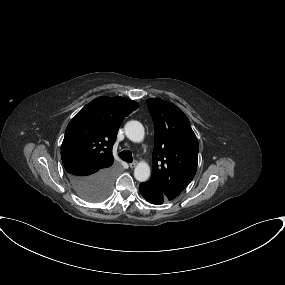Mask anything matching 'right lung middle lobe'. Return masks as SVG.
<instances>
[{"label": "right lung middle lobe", "instance_id": "1", "mask_svg": "<svg viewBox=\"0 0 285 285\" xmlns=\"http://www.w3.org/2000/svg\"><path fill=\"white\" fill-rule=\"evenodd\" d=\"M108 195H109V192L96 191V192H91L83 196L82 198L90 202H99V201L104 200Z\"/></svg>", "mask_w": 285, "mask_h": 285}]
</instances>
